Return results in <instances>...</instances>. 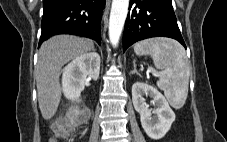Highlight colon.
Listing matches in <instances>:
<instances>
[{
	"label": "colon",
	"mask_w": 227,
	"mask_h": 142,
	"mask_svg": "<svg viewBox=\"0 0 227 142\" xmlns=\"http://www.w3.org/2000/svg\"><path fill=\"white\" fill-rule=\"evenodd\" d=\"M84 121L82 115L73 114L67 118H59L52 124L53 141L67 138L74 130L75 126Z\"/></svg>",
	"instance_id": "obj_1"
}]
</instances>
